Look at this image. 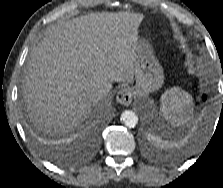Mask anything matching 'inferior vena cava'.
Returning a JSON list of instances; mask_svg holds the SVG:
<instances>
[{"label":"inferior vena cava","mask_w":223,"mask_h":188,"mask_svg":"<svg viewBox=\"0 0 223 188\" xmlns=\"http://www.w3.org/2000/svg\"><path fill=\"white\" fill-rule=\"evenodd\" d=\"M109 89L106 86H98L89 91V99L93 103L104 100L108 95Z\"/></svg>","instance_id":"602c4592"}]
</instances>
